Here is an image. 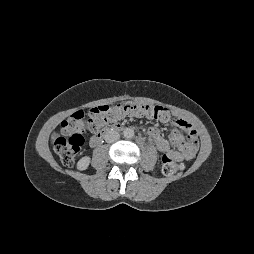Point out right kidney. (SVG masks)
Listing matches in <instances>:
<instances>
[{"label": "right kidney", "mask_w": 254, "mask_h": 254, "mask_svg": "<svg viewBox=\"0 0 254 254\" xmlns=\"http://www.w3.org/2000/svg\"><path fill=\"white\" fill-rule=\"evenodd\" d=\"M89 164H90V157L89 156L82 157L77 163V169L81 171L86 170Z\"/></svg>", "instance_id": "1"}]
</instances>
